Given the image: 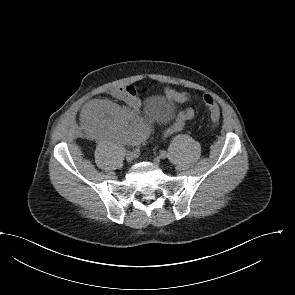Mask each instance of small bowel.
<instances>
[{"label": "small bowel", "instance_id": "1", "mask_svg": "<svg viewBox=\"0 0 295 295\" xmlns=\"http://www.w3.org/2000/svg\"><path fill=\"white\" fill-rule=\"evenodd\" d=\"M140 92L132 85L117 87L112 90V96L124 101L131 110L121 109L108 100H92L84 106L81 118L89 128L103 137L123 143L139 144L149 136L152 130L150 122L142 118L138 112L142 104ZM164 92L169 99L177 103H186L190 100L188 94L171 87H166ZM193 115L194 111L186 108L166 134L170 135L179 131L185 121L191 119Z\"/></svg>", "mask_w": 295, "mask_h": 295}]
</instances>
